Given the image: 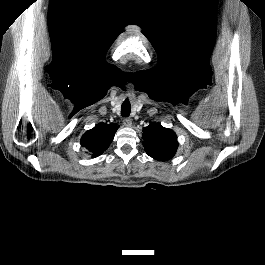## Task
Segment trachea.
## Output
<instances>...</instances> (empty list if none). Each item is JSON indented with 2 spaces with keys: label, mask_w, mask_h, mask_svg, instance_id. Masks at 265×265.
Returning a JSON list of instances; mask_svg holds the SVG:
<instances>
[{
  "label": "trachea",
  "mask_w": 265,
  "mask_h": 265,
  "mask_svg": "<svg viewBox=\"0 0 265 265\" xmlns=\"http://www.w3.org/2000/svg\"><path fill=\"white\" fill-rule=\"evenodd\" d=\"M131 112V105L128 100H125L121 105V115L123 117H128Z\"/></svg>",
  "instance_id": "1"
}]
</instances>
